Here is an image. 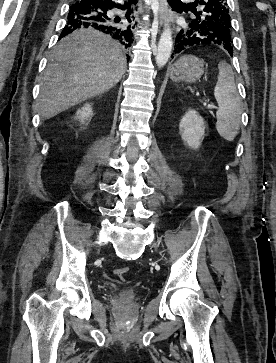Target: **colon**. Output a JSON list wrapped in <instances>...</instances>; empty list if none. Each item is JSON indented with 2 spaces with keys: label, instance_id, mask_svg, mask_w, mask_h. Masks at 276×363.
I'll return each mask as SVG.
<instances>
[{
  "label": "colon",
  "instance_id": "colon-1",
  "mask_svg": "<svg viewBox=\"0 0 276 363\" xmlns=\"http://www.w3.org/2000/svg\"><path fill=\"white\" fill-rule=\"evenodd\" d=\"M129 271L128 267H122L115 270V274L119 277H123Z\"/></svg>",
  "mask_w": 276,
  "mask_h": 363
}]
</instances>
